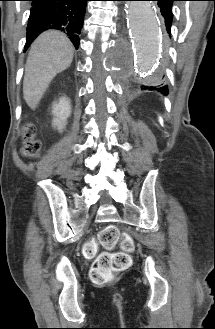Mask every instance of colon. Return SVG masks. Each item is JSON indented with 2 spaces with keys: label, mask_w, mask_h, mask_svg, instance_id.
<instances>
[{
  "label": "colon",
  "mask_w": 215,
  "mask_h": 329,
  "mask_svg": "<svg viewBox=\"0 0 215 329\" xmlns=\"http://www.w3.org/2000/svg\"><path fill=\"white\" fill-rule=\"evenodd\" d=\"M35 128L32 124L24 126V145L22 153L26 157H37L41 150V143L34 138ZM120 241L122 252L99 254L90 269V278L94 284L102 285L110 282L114 276L126 270L132 263L130 252L133 250V241L130 236H120L118 228L114 225L105 227L99 233V242L107 249L115 247ZM95 243L88 242L83 247L86 256L95 253Z\"/></svg>",
  "instance_id": "colon-1"
}]
</instances>
